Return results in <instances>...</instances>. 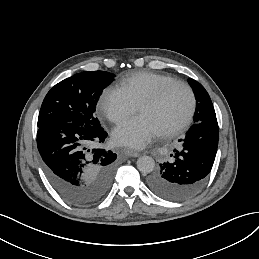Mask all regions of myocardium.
Masks as SVG:
<instances>
[{
    "mask_svg": "<svg viewBox=\"0 0 259 259\" xmlns=\"http://www.w3.org/2000/svg\"><path fill=\"white\" fill-rule=\"evenodd\" d=\"M175 86L183 87L189 95V106L186 115L175 126L161 133L163 137H173L179 134L193 119L196 110V95L193 88L186 82L180 80H171L162 84L157 92L149 98L144 99L138 106V111L145 106L158 104L164 96Z\"/></svg>",
    "mask_w": 259,
    "mask_h": 259,
    "instance_id": "1",
    "label": "myocardium"
}]
</instances>
